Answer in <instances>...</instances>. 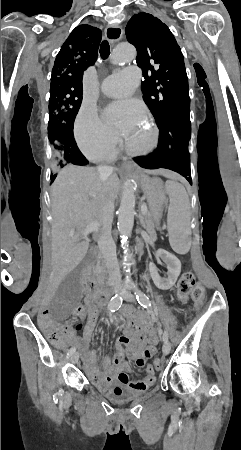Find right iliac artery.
I'll list each match as a JSON object with an SVG mask.
<instances>
[{"mask_svg":"<svg viewBox=\"0 0 241 450\" xmlns=\"http://www.w3.org/2000/svg\"><path fill=\"white\" fill-rule=\"evenodd\" d=\"M122 294H116L115 296H113L109 302L108 308L111 312H115L116 310H118L122 304ZM76 349L75 347H72L68 353L67 356L70 357L75 353ZM64 393V391L62 389L59 390V394L62 395Z\"/></svg>","mask_w":241,"mask_h":450,"instance_id":"obj_1","label":"right iliac artery"}]
</instances>
